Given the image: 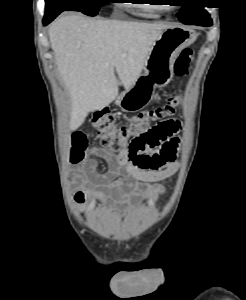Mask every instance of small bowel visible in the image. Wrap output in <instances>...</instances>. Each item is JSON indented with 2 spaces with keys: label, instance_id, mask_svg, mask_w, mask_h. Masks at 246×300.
<instances>
[{
  "label": "small bowel",
  "instance_id": "small-bowel-1",
  "mask_svg": "<svg viewBox=\"0 0 246 300\" xmlns=\"http://www.w3.org/2000/svg\"><path fill=\"white\" fill-rule=\"evenodd\" d=\"M178 144L179 138L175 136L156 151L163 159L157 167H143L138 162L140 155L132 153L128 148L113 153L105 148L91 147V156L76 163L72 170L70 181L75 189V203H104L110 197L120 208H124L131 201L142 197L154 201L164 191L158 182L169 178L179 168ZM96 157L107 163L106 173L97 171Z\"/></svg>",
  "mask_w": 246,
  "mask_h": 300
}]
</instances>
